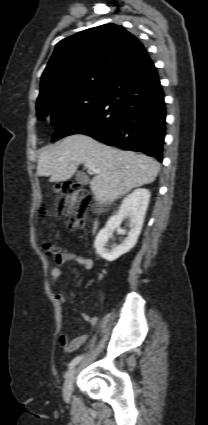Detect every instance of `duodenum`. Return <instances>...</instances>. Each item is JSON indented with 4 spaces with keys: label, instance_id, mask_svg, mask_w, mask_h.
I'll use <instances>...</instances> for the list:
<instances>
[{
    "label": "duodenum",
    "instance_id": "obj_1",
    "mask_svg": "<svg viewBox=\"0 0 208 425\" xmlns=\"http://www.w3.org/2000/svg\"><path fill=\"white\" fill-rule=\"evenodd\" d=\"M92 225H93V228L95 229V228H96V226H97V222H96V221H94Z\"/></svg>",
    "mask_w": 208,
    "mask_h": 425
}]
</instances>
